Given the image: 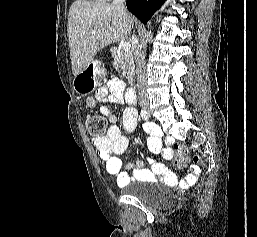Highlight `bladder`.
<instances>
[{
  "label": "bladder",
  "instance_id": "31cf9c89",
  "mask_svg": "<svg viewBox=\"0 0 257 237\" xmlns=\"http://www.w3.org/2000/svg\"><path fill=\"white\" fill-rule=\"evenodd\" d=\"M128 194L148 204L160 205L171 199V196L165 193H153L139 187L133 186Z\"/></svg>",
  "mask_w": 257,
  "mask_h": 237
}]
</instances>
